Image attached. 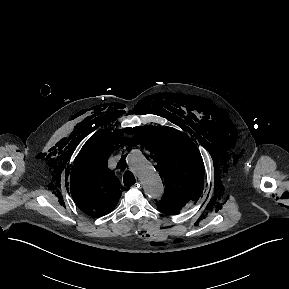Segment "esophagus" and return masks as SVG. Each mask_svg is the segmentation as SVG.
Returning a JSON list of instances; mask_svg holds the SVG:
<instances>
[{"label": "esophagus", "mask_w": 289, "mask_h": 289, "mask_svg": "<svg viewBox=\"0 0 289 289\" xmlns=\"http://www.w3.org/2000/svg\"><path fill=\"white\" fill-rule=\"evenodd\" d=\"M140 186V182H137L135 185H133V188L139 187Z\"/></svg>", "instance_id": "esophagus-1"}]
</instances>
